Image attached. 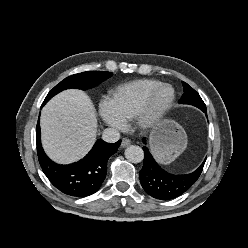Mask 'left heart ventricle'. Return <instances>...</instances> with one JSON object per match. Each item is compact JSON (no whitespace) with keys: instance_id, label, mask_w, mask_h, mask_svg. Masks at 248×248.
Wrapping results in <instances>:
<instances>
[{"instance_id":"b2bd125f","label":"left heart ventricle","mask_w":248,"mask_h":248,"mask_svg":"<svg viewBox=\"0 0 248 248\" xmlns=\"http://www.w3.org/2000/svg\"><path fill=\"white\" fill-rule=\"evenodd\" d=\"M169 96H170V91L167 90V89H165V90H163V91L160 93V95H159V97H158V101H159L160 103H163V102H165V101L169 98Z\"/></svg>"}]
</instances>
